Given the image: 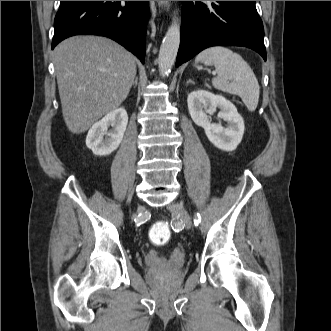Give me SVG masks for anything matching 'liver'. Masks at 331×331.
<instances>
[{"mask_svg": "<svg viewBox=\"0 0 331 331\" xmlns=\"http://www.w3.org/2000/svg\"><path fill=\"white\" fill-rule=\"evenodd\" d=\"M62 114L69 131H87L127 98L136 76L133 55L100 36H73L54 49Z\"/></svg>", "mask_w": 331, "mask_h": 331, "instance_id": "6515ba94", "label": "liver"}]
</instances>
